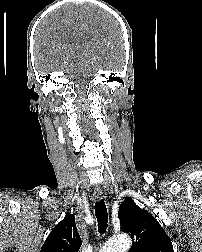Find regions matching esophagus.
Here are the masks:
<instances>
[{"label": "esophagus", "mask_w": 202, "mask_h": 252, "mask_svg": "<svg viewBox=\"0 0 202 252\" xmlns=\"http://www.w3.org/2000/svg\"><path fill=\"white\" fill-rule=\"evenodd\" d=\"M102 197H103V192H102V190H101L99 187H96V188L94 189V193H93V198H94V200L99 201V200L102 199Z\"/></svg>", "instance_id": "1"}]
</instances>
